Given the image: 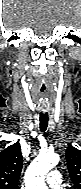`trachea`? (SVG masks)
<instances>
[{"mask_svg": "<svg viewBox=\"0 0 81 189\" xmlns=\"http://www.w3.org/2000/svg\"><path fill=\"white\" fill-rule=\"evenodd\" d=\"M48 113H40V131L45 132L48 126Z\"/></svg>", "mask_w": 81, "mask_h": 189, "instance_id": "obj_1", "label": "trachea"}]
</instances>
